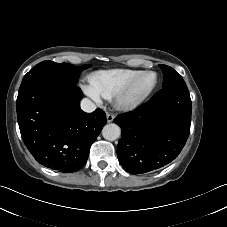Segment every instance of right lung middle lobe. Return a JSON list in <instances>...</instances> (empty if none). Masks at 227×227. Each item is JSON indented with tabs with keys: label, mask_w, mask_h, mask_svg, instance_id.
<instances>
[{
	"label": "right lung middle lobe",
	"mask_w": 227,
	"mask_h": 227,
	"mask_svg": "<svg viewBox=\"0 0 227 227\" xmlns=\"http://www.w3.org/2000/svg\"><path fill=\"white\" fill-rule=\"evenodd\" d=\"M88 68V65H84L83 68L68 64V63H56L53 61H43L33 67L23 78L22 81L28 80L38 75H49L68 79L74 83H77L79 73L81 70Z\"/></svg>",
	"instance_id": "1"
}]
</instances>
